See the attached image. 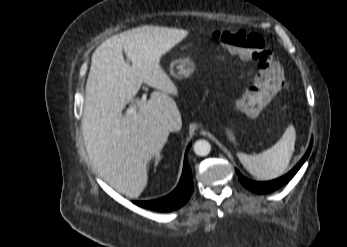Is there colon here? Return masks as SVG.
<instances>
[{
  "label": "colon",
  "instance_id": "1",
  "mask_svg": "<svg viewBox=\"0 0 347 247\" xmlns=\"http://www.w3.org/2000/svg\"><path fill=\"white\" fill-rule=\"evenodd\" d=\"M211 38L230 53L253 64L256 72L254 85L246 88L244 96L238 98L237 107L249 114H257L269 97L285 85L283 69L274 58L272 49L265 45L259 34L240 29L216 30Z\"/></svg>",
  "mask_w": 347,
  "mask_h": 247
}]
</instances>
